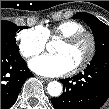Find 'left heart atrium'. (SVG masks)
<instances>
[{"mask_svg":"<svg viewBox=\"0 0 109 109\" xmlns=\"http://www.w3.org/2000/svg\"><path fill=\"white\" fill-rule=\"evenodd\" d=\"M30 68L38 74L57 77L69 73L73 65L62 54H45L34 58L29 63Z\"/></svg>","mask_w":109,"mask_h":109,"instance_id":"left-heart-atrium-1","label":"left heart atrium"}]
</instances>
